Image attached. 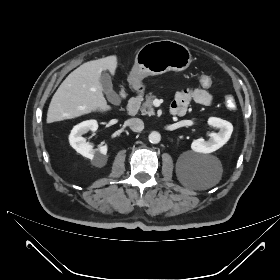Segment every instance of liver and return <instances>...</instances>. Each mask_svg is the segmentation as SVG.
I'll use <instances>...</instances> for the list:
<instances>
[{
	"instance_id": "obj_1",
	"label": "liver",
	"mask_w": 280,
	"mask_h": 280,
	"mask_svg": "<svg viewBox=\"0 0 280 280\" xmlns=\"http://www.w3.org/2000/svg\"><path fill=\"white\" fill-rule=\"evenodd\" d=\"M117 63V56L111 55L86 62L71 72L51 99L47 123L111 110L103 95L100 77L106 70L114 75Z\"/></svg>"
}]
</instances>
